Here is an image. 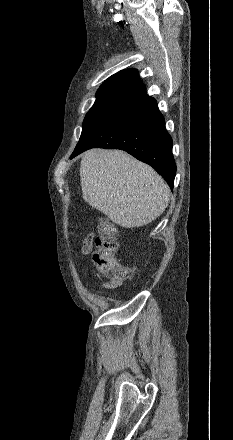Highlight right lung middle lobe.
<instances>
[{"label": "right lung middle lobe", "mask_w": 233, "mask_h": 440, "mask_svg": "<svg viewBox=\"0 0 233 440\" xmlns=\"http://www.w3.org/2000/svg\"><path fill=\"white\" fill-rule=\"evenodd\" d=\"M123 106V104L111 102L94 103L92 108L85 116L80 141L98 129L110 117L121 110Z\"/></svg>", "instance_id": "dd1d6c3e"}]
</instances>
